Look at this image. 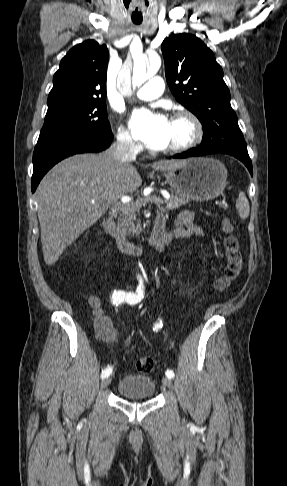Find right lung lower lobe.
<instances>
[{
    "label": "right lung lower lobe",
    "mask_w": 287,
    "mask_h": 486,
    "mask_svg": "<svg viewBox=\"0 0 287 486\" xmlns=\"http://www.w3.org/2000/svg\"><path fill=\"white\" fill-rule=\"evenodd\" d=\"M112 133L92 140H66L36 145L33 154L32 192L46 172L62 159L77 153L100 152L110 146Z\"/></svg>",
    "instance_id": "obj_1"
}]
</instances>
